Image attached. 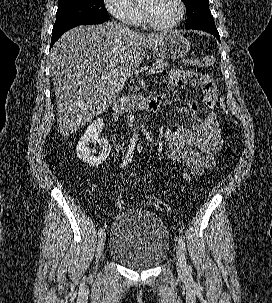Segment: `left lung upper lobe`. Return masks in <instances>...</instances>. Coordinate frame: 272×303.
Instances as JSON below:
<instances>
[{
  "label": "left lung upper lobe",
  "instance_id": "1",
  "mask_svg": "<svg viewBox=\"0 0 272 303\" xmlns=\"http://www.w3.org/2000/svg\"><path fill=\"white\" fill-rule=\"evenodd\" d=\"M187 9L186 29L214 26L209 10V0H183Z\"/></svg>",
  "mask_w": 272,
  "mask_h": 303
}]
</instances>
